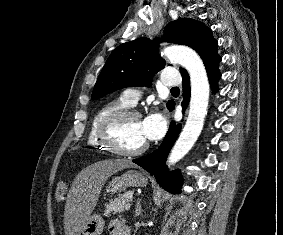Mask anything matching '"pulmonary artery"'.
Masks as SVG:
<instances>
[{
  "instance_id": "e3ab8cb5",
  "label": "pulmonary artery",
  "mask_w": 283,
  "mask_h": 235,
  "mask_svg": "<svg viewBox=\"0 0 283 235\" xmlns=\"http://www.w3.org/2000/svg\"><path fill=\"white\" fill-rule=\"evenodd\" d=\"M162 83L166 86L176 87L180 83L179 73L172 69L166 70L162 77ZM141 96V91L136 88H127L122 94V98L129 105H134Z\"/></svg>"
}]
</instances>
